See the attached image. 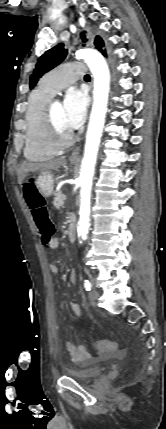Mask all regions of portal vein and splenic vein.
Instances as JSON below:
<instances>
[{
	"instance_id": "1",
	"label": "portal vein and splenic vein",
	"mask_w": 166,
	"mask_h": 429,
	"mask_svg": "<svg viewBox=\"0 0 166 429\" xmlns=\"http://www.w3.org/2000/svg\"><path fill=\"white\" fill-rule=\"evenodd\" d=\"M63 200H66V195L63 196Z\"/></svg>"
}]
</instances>
